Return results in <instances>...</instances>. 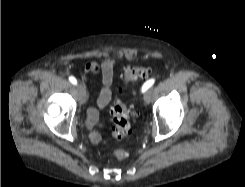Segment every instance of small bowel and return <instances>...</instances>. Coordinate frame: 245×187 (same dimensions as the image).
Returning a JSON list of instances; mask_svg holds the SVG:
<instances>
[{
    "instance_id": "c3829d8e",
    "label": "small bowel",
    "mask_w": 245,
    "mask_h": 187,
    "mask_svg": "<svg viewBox=\"0 0 245 187\" xmlns=\"http://www.w3.org/2000/svg\"><path fill=\"white\" fill-rule=\"evenodd\" d=\"M115 60L105 59L101 63L97 62H88L84 68V75L82 79L85 81L87 75H100L102 88L97 98V106L99 108H104L108 105L112 98V84L114 79V69H115ZM88 124L92 126L98 119V110L96 108L88 109ZM91 140L94 143L100 142V136L96 133H91Z\"/></svg>"
}]
</instances>
